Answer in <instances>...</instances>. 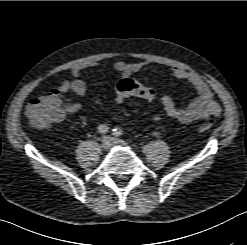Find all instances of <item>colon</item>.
Returning <instances> with one entry per match:
<instances>
[{
  "label": "colon",
  "instance_id": "obj_1",
  "mask_svg": "<svg viewBox=\"0 0 247 245\" xmlns=\"http://www.w3.org/2000/svg\"><path fill=\"white\" fill-rule=\"evenodd\" d=\"M130 95L144 99H153L156 96L155 89L148 87L131 78L121 79L115 88V104H120ZM26 114L30 123L37 129H46L60 122L64 118L63 106L57 99H49L45 96L32 99L27 107ZM212 128L211 123L199 126L201 132H207Z\"/></svg>",
  "mask_w": 247,
  "mask_h": 245
}]
</instances>
